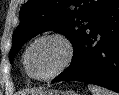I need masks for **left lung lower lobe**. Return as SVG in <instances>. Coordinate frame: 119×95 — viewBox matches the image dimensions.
I'll return each instance as SVG.
<instances>
[{"mask_svg": "<svg viewBox=\"0 0 119 95\" xmlns=\"http://www.w3.org/2000/svg\"><path fill=\"white\" fill-rule=\"evenodd\" d=\"M65 80L92 83L119 93V0H111L96 15L70 67L52 83Z\"/></svg>", "mask_w": 119, "mask_h": 95, "instance_id": "0a47b994", "label": "left lung lower lobe"}]
</instances>
